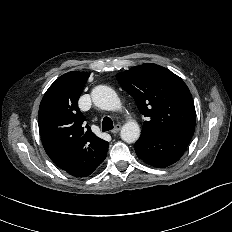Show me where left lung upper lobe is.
Here are the masks:
<instances>
[{
	"label": "left lung upper lobe",
	"instance_id": "5c2ea615",
	"mask_svg": "<svg viewBox=\"0 0 232 232\" xmlns=\"http://www.w3.org/2000/svg\"><path fill=\"white\" fill-rule=\"evenodd\" d=\"M120 85L147 117L142 132L193 136L196 113L184 81L168 69L146 63L116 75Z\"/></svg>",
	"mask_w": 232,
	"mask_h": 232
}]
</instances>
